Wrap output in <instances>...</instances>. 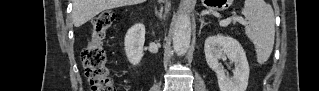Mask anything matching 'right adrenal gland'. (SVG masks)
Listing matches in <instances>:
<instances>
[{"label": "right adrenal gland", "instance_id": "obj_1", "mask_svg": "<svg viewBox=\"0 0 319 91\" xmlns=\"http://www.w3.org/2000/svg\"><path fill=\"white\" fill-rule=\"evenodd\" d=\"M168 7L169 6H168V3H167V5L164 7V14H163V7L160 10H158L157 7H155V15L157 17H159L161 20H165L167 14L169 12Z\"/></svg>", "mask_w": 319, "mask_h": 91}]
</instances>
